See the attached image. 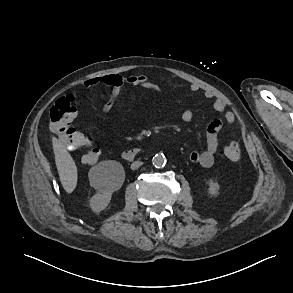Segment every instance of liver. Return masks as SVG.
Wrapping results in <instances>:
<instances>
[{"label":"liver","mask_w":293,"mask_h":293,"mask_svg":"<svg viewBox=\"0 0 293 293\" xmlns=\"http://www.w3.org/2000/svg\"><path fill=\"white\" fill-rule=\"evenodd\" d=\"M52 143L61 184L67 193H71L77 185L76 164L67 149L57 138L53 137Z\"/></svg>","instance_id":"obj_1"}]
</instances>
